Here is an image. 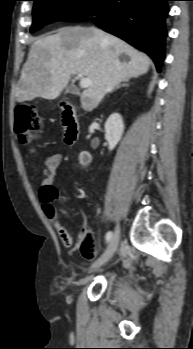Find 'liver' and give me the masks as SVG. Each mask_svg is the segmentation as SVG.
<instances>
[{
	"mask_svg": "<svg viewBox=\"0 0 193 349\" xmlns=\"http://www.w3.org/2000/svg\"><path fill=\"white\" fill-rule=\"evenodd\" d=\"M122 54L129 61H121ZM149 67L147 55L113 35L95 27H63L31 45L16 99H56L72 75L82 74L91 79L92 85L83 91L81 104L92 111L120 82L147 73Z\"/></svg>",
	"mask_w": 193,
	"mask_h": 349,
	"instance_id": "6515ba94",
	"label": "liver"
}]
</instances>
